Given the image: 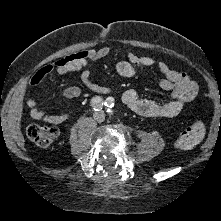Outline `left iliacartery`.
Wrapping results in <instances>:
<instances>
[{"label":"left iliac artery","instance_id":"44dca946","mask_svg":"<svg viewBox=\"0 0 221 221\" xmlns=\"http://www.w3.org/2000/svg\"><path fill=\"white\" fill-rule=\"evenodd\" d=\"M105 106L107 107V112L110 114V115H113L114 114V98L112 97H108L106 99V102H105Z\"/></svg>","mask_w":221,"mask_h":221}]
</instances>
